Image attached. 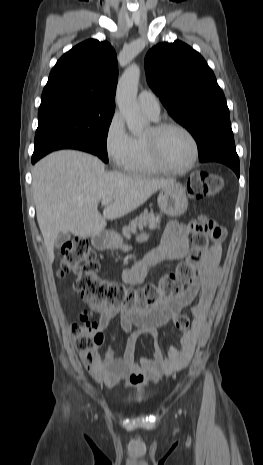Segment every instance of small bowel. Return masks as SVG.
Segmentation results:
<instances>
[{"mask_svg":"<svg viewBox=\"0 0 263 465\" xmlns=\"http://www.w3.org/2000/svg\"><path fill=\"white\" fill-rule=\"evenodd\" d=\"M196 232V222L189 224L170 222L160 243L141 261L123 272V282L128 285L140 284L150 267L163 261L184 258L190 249L189 237ZM210 237L213 244L204 256L197 278L185 291L164 300L159 305L139 311L88 300L89 305L99 313V318L95 323L99 331L105 330L119 315V334H129L121 357H116L111 347L117 334H110L103 359L99 360L91 370L97 382L110 388L121 383L126 387H143L157 382L163 375L183 370L188 365L195 349L198 333L206 321L220 277L219 261L224 231L216 227L210 233ZM197 296L198 300L193 304ZM188 307L193 316L192 329L184 331L180 338L179 348L171 346L167 354H164L159 342L158 328L174 321L175 317ZM133 328L135 329L132 331ZM142 334H149L155 340L153 354L150 358H136L135 356V344Z\"/></svg>","mask_w":263,"mask_h":465,"instance_id":"1","label":"small bowel"}]
</instances>
